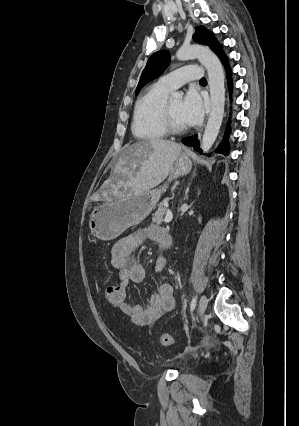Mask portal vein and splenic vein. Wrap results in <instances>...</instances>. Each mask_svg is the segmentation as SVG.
I'll use <instances>...</instances> for the list:
<instances>
[{
    "label": "portal vein and splenic vein",
    "mask_w": 299,
    "mask_h": 426,
    "mask_svg": "<svg viewBox=\"0 0 299 426\" xmlns=\"http://www.w3.org/2000/svg\"><path fill=\"white\" fill-rule=\"evenodd\" d=\"M172 220V212L170 210L167 211L166 217L164 219L165 223H169Z\"/></svg>",
    "instance_id": "portal-vein-and-splenic-vein-1"
}]
</instances>
